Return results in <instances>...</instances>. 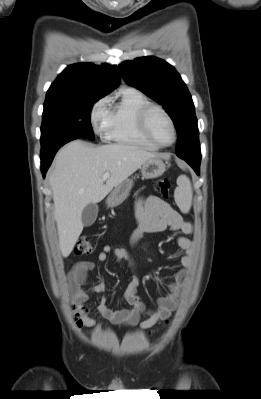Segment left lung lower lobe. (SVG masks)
<instances>
[{"mask_svg":"<svg viewBox=\"0 0 261 399\" xmlns=\"http://www.w3.org/2000/svg\"><path fill=\"white\" fill-rule=\"evenodd\" d=\"M182 159H184L189 165H191L192 168L195 170L196 174L199 175L201 158H182Z\"/></svg>","mask_w":261,"mask_h":399,"instance_id":"left-lung-lower-lobe-1","label":"left lung lower lobe"}]
</instances>
